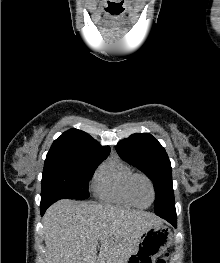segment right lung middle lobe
Returning <instances> with one entry per match:
<instances>
[{
    "instance_id": "dd1d6c3e",
    "label": "right lung middle lobe",
    "mask_w": 220,
    "mask_h": 263,
    "mask_svg": "<svg viewBox=\"0 0 220 263\" xmlns=\"http://www.w3.org/2000/svg\"><path fill=\"white\" fill-rule=\"evenodd\" d=\"M107 156L78 151H49L41 181V203L63 198H88L89 180Z\"/></svg>"
}]
</instances>
